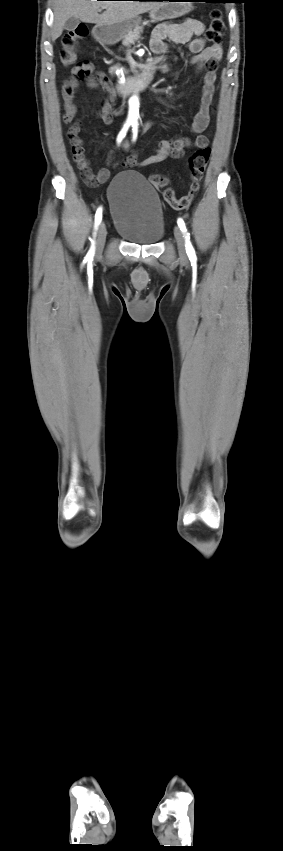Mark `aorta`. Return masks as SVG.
<instances>
[{
    "instance_id": "obj_1",
    "label": "aorta",
    "mask_w": 283,
    "mask_h": 851,
    "mask_svg": "<svg viewBox=\"0 0 283 851\" xmlns=\"http://www.w3.org/2000/svg\"><path fill=\"white\" fill-rule=\"evenodd\" d=\"M137 112H138V98L136 96H133L130 99V111H129V118H128L129 121L133 122V121L137 120Z\"/></svg>"
}]
</instances>
